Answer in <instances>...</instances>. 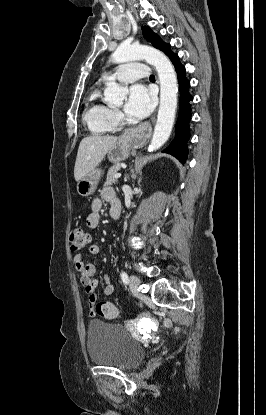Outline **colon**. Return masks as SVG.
Returning <instances> with one entry per match:
<instances>
[{"mask_svg": "<svg viewBox=\"0 0 266 415\" xmlns=\"http://www.w3.org/2000/svg\"><path fill=\"white\" fill-rule=\"evenodd\" d=\"M70 249L72 252L83 250L89 243V235L81 228L74 229L69 237ZM93 314L106 318L114 319L118 316V308L110 302H99L93 308Z\"/></svg>", "mask_w": 266, "mask_h": 415, "instance_id": "5ec220e1", "label": "colon"}]
</instances>
